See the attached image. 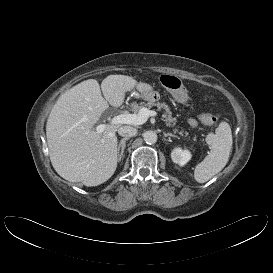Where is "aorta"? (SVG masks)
I'll return each mask as SVG.
<instances>
[{
	"mask_svg": "<svg viewBox=\"0 0 273 273\" xmlns=\"http://www.w3.org/2000/svg\"><path fill=\"white\" fill-rule=\"evenodd\" d=\"M143 138L147 144L151 145L157 142L158 136L154 131H146L143 134Z\"/></svg>",
	"mask_w": 273,
	"mask_h": 273,
	"instance_id": "762f6f07",
	"label": "aorta"
}]
</instances>
